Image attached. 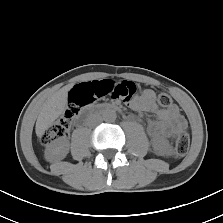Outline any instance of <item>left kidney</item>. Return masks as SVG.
Wrapping results in <instances>:
<instances>
[{
  "label": "left kidney",
  "instance_id": "obj_1",
  "mask_svg": "<svg viewBox=\"0 0 223 223\" xmlns=\"http://www.w3.org/2000/svg\"><path fill=\"white\" fill-rule=\"evenodd\" d=\"M156 148L162 151V153L165 155H170L172 153V148L168 142L160 143L158 146H156Z\"/></svg>",
  "mask_w": 223,
  "mask_h": 223
}]
</instances>
